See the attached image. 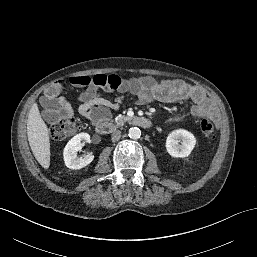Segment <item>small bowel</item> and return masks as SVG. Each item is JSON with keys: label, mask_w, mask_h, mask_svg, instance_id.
Instances as JSON below:
<instances>
[{"label": "small bowel", "mask_w": 257, "mask_h": 257, "mask_svg": "<svg viewBox=\"0 0 257 257\" xmlns=\"http://www.w3.org/2000/svg\"><path fill=\"white\" fill-rule=\"evenodd\" d=\"M83 77L88 79V83L83 85L87 86V88L78 97V112L94 125L108 121L111 116L110 109H119L128 93L134 95L137 102L141 104L151 101L163 103L191 101L192 107L190 112L195 117L206 116L212 111V103L208 100L206 94L198 87L182 80L156 81L151 77L124 79L118 75L104 74ZM66 84L67 82L63 84L56 82L47 89L41 100L44 116L49 121L56 120L62 109H69L64 98L59 96L61 89ZM70 84L73 83L70 82ZM54 87L58 89L55 93L52 91ZM100 90L108 93L116 92L118 95L111 101L103 97L99 92ZM183 118V115L172 116L168 119V122H179Z\"/></svg>", "instance_id": "small-bowel-1"}]
</instances>
